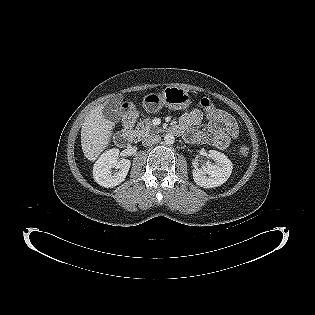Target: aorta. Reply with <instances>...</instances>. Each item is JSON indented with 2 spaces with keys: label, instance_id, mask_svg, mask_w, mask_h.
I'll list each match as a JSON object with an SVG mask.
<instances>
[{
  "label": "aorta",
  "instance_id": "1",
  "mask_svg": "<svg viewBox=\"0 0 315 315\" xmlns=\"http://www.w3.org/2000/svg\"><path fill=\"white\" fill-rule=\"evenodd\" d=\"M164 141H165L166 144L171 145V144L174 143L175 138H174V136L172 134H166L164 136Z\"/></svg>",
  "mask_w": 315,
  "mask_h": 315
}]
</instances>
